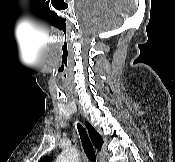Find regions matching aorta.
I'll list each match as a JSON object with an SVG mask.
<instances>
[{
  "label": "aorta",
  "mask_w": 175,
  "mask_h": 162,
  "mask_svg": "<svg viewBox=\"0 0 175 162\" xmlns=\"http://www.w3.org/2000/svg\"><path fill=\"white\" fill-rule=\"evenodd\" d=\"M56 162H79V152L76 148L65 150L57 157Z\"/></svg>",
  "instance_id": "1"
}]
</instances>
